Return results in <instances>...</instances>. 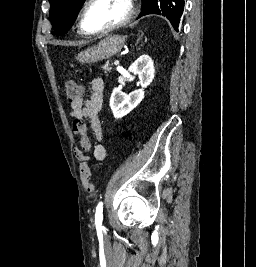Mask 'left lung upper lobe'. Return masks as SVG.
Here are the masks:
<instances>
[{
  "label": "left lung upper lobe",
  "instance_id": "left-lung-upper-lobe-1",
  "mask_svg": "<svg viewBox=\"0 0 256 267\" xmlns=\"http://www.w3.org/2000/svg\"><path fill=\"white\" fill-rule=\"evenodd\" d=\"M50 20L55 32L65 34L75 22L85 0H49ZM158 14L165 16L171 23L174 19V0H143L142 11L138 18Z\"/></svg>",
  "mask_w": 256,
  "mask_h": 267
}]
</instances>
